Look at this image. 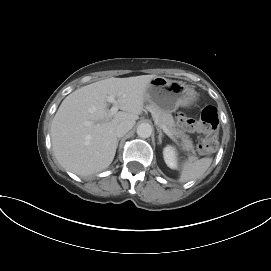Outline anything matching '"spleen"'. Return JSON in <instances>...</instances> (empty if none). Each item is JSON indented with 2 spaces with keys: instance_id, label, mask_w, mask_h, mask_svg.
Instances as JSON below:
<instances>
[{
  "instance_id": "1",
  "label": "spleen",
  "mask_w": 271,
  "mask_h": 271,
  "mask_svg": "<svg viewBox=\"0 0 271 271\" xmlns=\"http://www.w3.org/2000/svg\"><path fill=\"white\" fill-rule=\"evenodd\" d=\"M213 159L204 157L199 160L188 159L182 163L179 181L182 183L201 178L208 170Z\"/></svg>"
}]
</instances>
